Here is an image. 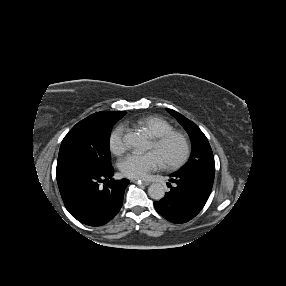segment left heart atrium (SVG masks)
Segmentation results:
<instances>
[{
    "instance_id": "1",
    "label": "left heart atrium",
    "mask_w": 286,
    "mask_h": 286,
    "mask_svg": "<svg viewBox=\"0 0 286 286\" xmlns=\"http://www.w3.org/2000/svg\"><path fill=\"white\" fill-rule=\"evenodd\" d=\"M162 167L155 152H134L119 163L120 170L125 176L133 179H146L150 174Z\"/></svg>"
}]
</instances>
